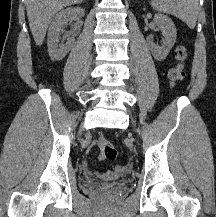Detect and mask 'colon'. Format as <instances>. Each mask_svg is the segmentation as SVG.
Wrapping results in <instances>:
<instances>
[{
	"label": "colon",
	"instance_id": "obj_1",
	"mask_svg": "<svg viewBox=\"0 0 216 217\" xmlns=\"http://www.w3.org/2000/svg\"><path fill=\"white\" fill-rule=\"evenodd\" d=\"M177 64L169 71V79L173 86L177 85L185 76L184 63L187 58L186 47L182 44L178 45L175 50ZM100 148L99 157L101 160L113 161L117 157V149L113 143L105 136H100L98 140Z\"/></svg>",
	"mask_w": 216,
	"mask_h": 217
}]
</instances>
